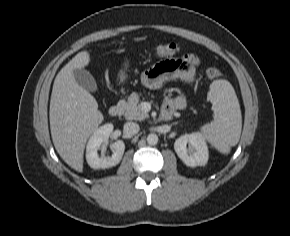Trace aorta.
I'll use <instances>...</instances> for the list:
<instances>
[{
	"label": "aorta",
	"mask_w": 290,
	"mask_h": 236,
	"mask_svg": "<svg viewBox=\"0 0 290 236\" xmlns=\"http://www.w3.org/2000/svg\"><path fill=\"white\" fill-rule=\"evenodd\" d=\"M147 143L149 145H156L158 143V136L155 133H150L147 136Z\"/></svg>",
	"instance_id": "1"
}]
</instances>
